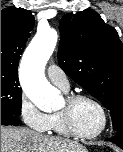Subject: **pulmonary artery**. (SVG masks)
I'll list each match as a JSON object with an SVG mask.
<instances>
[{
    "mask_svg": "<svg viewBox=\"0 0 123 152\" xmlns=\"http://www.w3.org/2000/svg\"><path fill=\"white\" fill-rule=\"evenodd\" d=\"M47 76L49 80L64 91L69 90V80L66 73L57 65L50 64L47 67Z\"/></svg>",
    "mask_w": 123,
    "mask_h": 152,
    "instance_id": "obj_1",
    "label": "pulmonary artery"
}]
</instances>
